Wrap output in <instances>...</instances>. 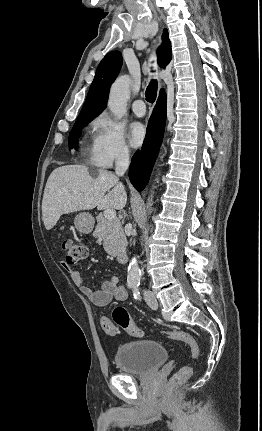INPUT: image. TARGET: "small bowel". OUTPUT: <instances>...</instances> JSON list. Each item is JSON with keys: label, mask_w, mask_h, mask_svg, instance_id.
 Returning a JSON list of instances; mask_svg holds the SVG:
<instances>
[{"label": "small bowel", "mask_w": 262, "mask_h": 431, "mask_svg": "<svg viewBox=\"0 0 262 431\" xmlns=\"http://www.w3.org/2000/svg\"><path fill=\"white\" fill-rule=\"evenodd\" d=\"M65 269L69 272L70 277L76 287L79 288L82 294L87 296L91 303L97 308H104L112 301L122 302L127 298V291L118 285V278L112 277L104 281L98 290H91L85 285L84 280L80 273L72 268L70 265H64Z\"/></svg>", "instance_id": "1"}]
</instances>
